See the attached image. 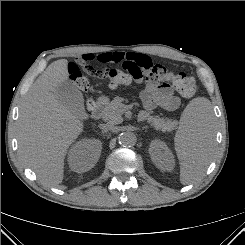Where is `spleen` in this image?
<instances>
[{
	"mask_svg": "<svg viewBox=\"0 0 245 245\" xmlns=\"http://www.w3.org/2000/svg\"><path fill=\"white\" fill-rule=\"evenodd\" d=\"M214 134L210 100L194 98L185 107L174 138L182 184L187 185L204 173L211 160Z\"/></svg>",
	"mask_w": 245,
	"mask_h": 245,
	"instance_id": "obj_1",
	"label": "spleen"
}]
</instances>
